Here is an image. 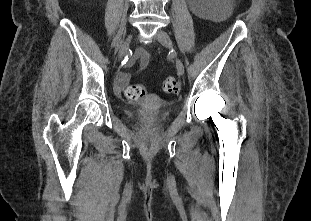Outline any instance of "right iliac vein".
<instances>
[{"label": "right iliac vein", "instance_id": "obj_1", "mask_svg": "<svg viewBox=\"0 0 311 221\" xmlns=\"http://www.w3.org/2000/svg\"><path fill=\"white\" fill-rule=\"evenodd\" d=\"M131 39H132V36L129 35L125 39L124 43L122 44L120 51H119V55H118L119 60H121L124 57V55L127 53L130 43H131Z\"/></svg>", "mask_w": 311, "mask_h": 221}]
</instances>
